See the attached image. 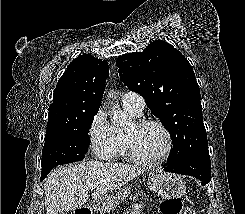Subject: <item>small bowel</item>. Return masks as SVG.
Instances as JSON below:
<instances>
[{"instance_id":"small-bowel-1","label":"small bowel","mask_w":245,"mask_h":214,"mask_svg":"<svg viewBox=\"0 0 245 214\" xmlns=\"http://www.w3.org/2000/svg\"><path fill=\"white\" fill-rule=\"evenodd\" d=\"M127 214H140V206L137 204L130 206Z\"/></svg>"}]
</instances>
